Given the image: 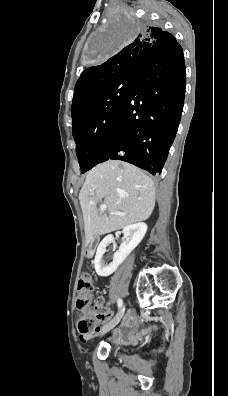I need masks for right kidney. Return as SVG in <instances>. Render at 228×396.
<instances>
[{
  "instance_id": "right-kidney-1",
  "label": "right kidney",
  "mask_w": 228,
  "mask_h": 396,
  "mask_svg": "<svg viewBox=\"0 0 228 396\" xmlns=\"http://www.w3.org/2000/svg\"><path fill=\"white\" fill-rule=\"evenodd\" d=\"M147 231V225L143 222L132 224L123 228V242L119 250L114 254L113 261L106 265L103 260V255L106 252V247L114 240L112 235L106 236L99 244L96 256L94 259V267L99 276L107 277L111 275L118 266L127 258V256L138 246L142 241Z\"/></svg>"
}]
</instances>
